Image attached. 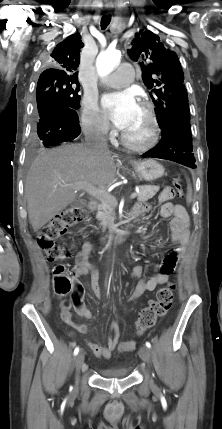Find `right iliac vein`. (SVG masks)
Wrapping results in <instances>:
<instances>
[{"instance_id":"63e3f726","label":"right iliac vein","mask_w":222,"mask_h":429,"mask_svg":"<svg viewBox=\"0 0 222 429\" xmlns=\"http://www.w3.org/2000/svg\"><path fill=\"white\" fill-rule=\"evenodd\" d=\"M83 363H84V353L80 352L75 358L76 385H78V382H79L80 369Z\"/></svg>"}]
</instances>
